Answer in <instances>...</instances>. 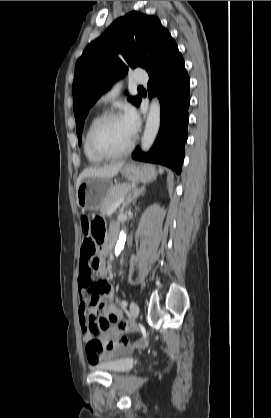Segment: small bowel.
<instances>
[{"mask_svg": "<svg viewBox=\"0 0 271 418\" xmlns=\"http://www.w3.org/2000/svg\"><path fill=\"white\" fill-rule=\"evenodd\" d=\"M117 229L111 228V232ZM107 244L99 246V253L95 255V242L89 238H80V250L76 251V260L80 261L78 285H79V322L86 342V352L91 365H96L110 359L124 351L130 350L129 343L121 342L119 336L124 330L119 328L122 314L114 303V294L111 285L104 280L107 276L105 257L101 256ZM89 262V271L86 263ZM92 276L101 278L94 283ZM99 311L101 314L99 315ZM97 326L99 334L95 336L91 329ZM97 341L98 349L90 348V344Z\"/></svg>", "mask_w": 271, "mask_h": 418, "instance_id": "1", "label": "small bowel"}]
</instances>
